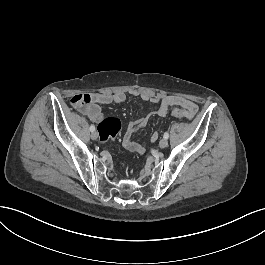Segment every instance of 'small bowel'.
Wrapping results in <instances>:
<instances>
[{"mask_svg":"<svg viewBox=\"0 0 265 265\" xmlns=\"http://www.w3.org/2000/svg\"><path fill=\"white\" fill-rule=\"evenodd\" d=\"M91 96V95H90ZM140 98L151 104H158L156 111L154 112L158 116L164 117L168 111L166 104L170 100L178 102L179 106L184 108L187 118L191 119L198 111V105L185 97L176 95H151L148 93H142ZM91 100V99H90ZM126 100V94L123 91H116L113 93L100 92L95 93L92 96V101L88 105H85L80 109L81 113L89 118L92 122H99L102 119L101 105L120 104ZM150 116L142 117L140 119L133 120L128 123L127 128L122 137V144L126 150L136 154H143L145 147L140 142L132 140V136L140 129L148 124ZM158 132L154 131L151 134L150 141L155 143L158 139Z\"/></svg>","mask_w":265,"mask_h":265,"instance_id":"obj_1","label":"small bowel"}]
</instances>
